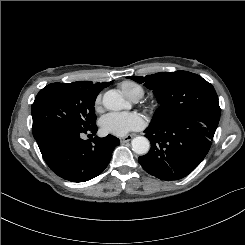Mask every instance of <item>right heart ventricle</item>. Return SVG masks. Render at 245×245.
Returning <instances> with one entry per match:
<instances>
[{
  "label": "right heart ventricle",
  "instance_id": "right-heart-ventricle-1",
  "mask_svg": "<svg viewBox=\"0 0 245 245\" xmlns=\"http://www.w3.org/2000/svg\"><path fill=\"white\" fill-rule=\"evenodd\" d=\"M122 93L129 99L141 97L144 93L143 88L135 82L123 81L119 84Z\"/></svg>",
  "mask_w": 245,
  "mask_h": 245
}]
</instances>
